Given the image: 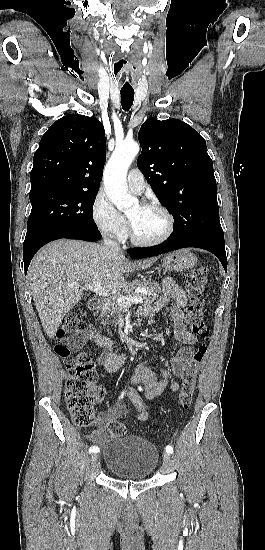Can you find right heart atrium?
<instances>
[{
  "label": "right heart atrium",
  "mask_w": 265,
  "mask_h": 550,
  "mask_svg": "<svg viewBox=\"0 0 265 550\" xmlns=\"http://www.w3.org/2000/svg\"><path fill=\"white\" fill-rule=\"evenodd\" d=\"M91 216L95 226L103 235L118 240L126 236V219L104 191L96 194L91 206Z\"/></svg>",
  "instance_id": "obj_1"
}]
</instances>
